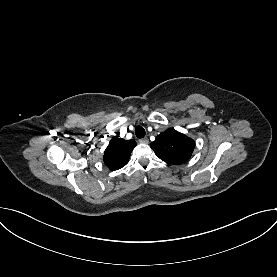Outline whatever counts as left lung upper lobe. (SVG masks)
<instances>
[{"instance_id": "obj_1", "label": "left lung upper lobe", "mask_w": 277, "mask_h": 277, "mask_svg": "<svg viewBox=\"0 0 277 277\" xmlns=\"http://www.w3.org/2000/svg\"><path fill=\"white\" fill-rule=\"evenodd\" d=\"M193 139L169 128L157 136L151 143L155 154L163 161L170 164H182L189 160L194 150Z\"/></svg>"}]
</instances>
